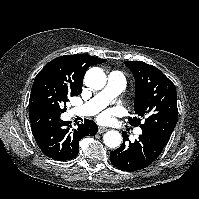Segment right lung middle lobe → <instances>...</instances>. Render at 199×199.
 Wrapping results in <instances>:
<instances>
[{
    "label": "right lung middle lobe",
    "mask_w": 199,
    "mask_h": 199,
    "mask_svg": "<svg viewBox=\"0 0 199 199\" xmlns=\"http://www.w3.org/2000/svg\"><path fill=\"white\" fill-rule=\"evenodd\" d=\"M71 96H77V94L61 84L51 81L34 82L29 99V110L49 108L63 113L66 111V102Z\"/></svg>",
    "instance_id": "dd1d6c3e"
}]
</instances>
